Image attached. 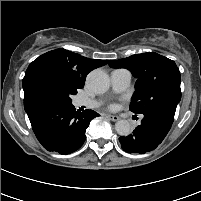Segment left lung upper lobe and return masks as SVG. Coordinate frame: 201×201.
<instances>
[{"label": "left lung upper lobe", "instance_id": "obj_1", "mask_svg": "<svg viewBox=\"0 0 201 201\" xmlns=\"http://www.w3.org/2000/svg\"><path fill=\"white\" fill-rule=\"evenodd\" d=\"M112 68L129 69L137 78L130 110L145 114L155 109L176 111L181 99L180 72L173 60L154 52L110 61Z\"/></svg>", "mask_w": 201, "mask_h": 201}]
</instances>
